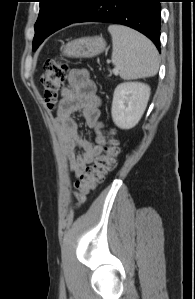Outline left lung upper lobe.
Listing matches in <instances>:
<instances>
[{
    "label": "left lung upper lobe",
    "instance_id": "1",
    "mask_svg": "<svg viewBox=\"0 0 195 299\" xmlns=\"http://www.w3.org/2000/svg\"><path fill=\"white\" fill-rule=\"evenodd\" d=\"M40 12L35 23L33 50L52 33L74 23L84 12L89 0H39Z\"/></svg>",
    "mask_w": 195,
    "mask_h": 299
}]
</instances>
